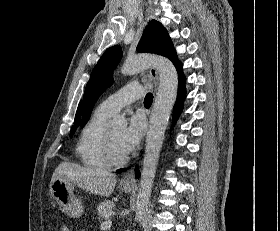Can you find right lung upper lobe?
I'll return each instance as SVG.
<instances>
[{"mask_svg":"<svg viewBox=\"0 0 280 231\" xmlns=\"http://www.w3.org/2000/svg\"><path fill=\"white\" fill-rule=\"evenodd\" d=\"M80 117H81V104L78 106L76 116H75V120H74V126L72 127V129H76V127L79 125Z\"/></svg>","mask_w":280,"mask_h":231,"instance_id":"right-lung-upper-lobe-1","label":"right lung upper lobe"}]
</instances>
